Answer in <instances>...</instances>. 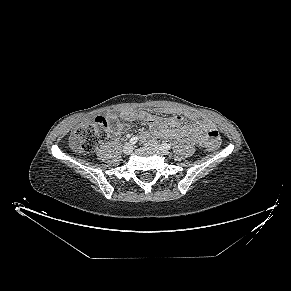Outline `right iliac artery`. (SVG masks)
<instances>
[{
  "mask_svg": "<svg viewBox=\"0 0 291 291\" xmlns=\"http://www.w3.org/2000/svg\"><path fill=\"white\" fill-rule=\"evenodd\" d=\"M137 141H138V136H133V137L130 139L129 143H131V144H135Z\"/></svg>",
  "mask_w": 291,
  "mask_h": 291,
  "instance_id": "right-iliac-artery-1",
  "label": "right iliac artery"
}]
</instances>
